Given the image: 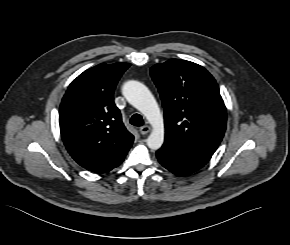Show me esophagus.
<instances>
[{
  "instance_id": "obj_1",
  "label": "esophagus",
  "mask_w": 290,
  "mask_h": 245,
  "mask_svg": "<svg viewBox=\"0 0 290 245\" xmlns=\"http://www.w3.org/2000/svg\"><path fill=\"white\" fill-rule=\"evenodd\" d=\"M142 135H145L151 131V127L149 125H144L139 129Z\"/></svg>"
}]
</instances>
